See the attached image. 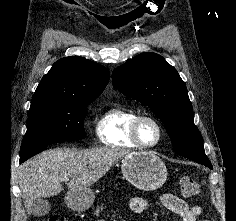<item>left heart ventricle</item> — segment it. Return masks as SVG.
<instances>
[{
    "mask_svg": "<svg viewBox=\"0 0 236 221\" xmlns=\"http://www.w3.org/2000/svg\"><path fill=\"white\" fill-rule=\"evenodd\" d=\"M139 136L142 142L151 144L156 141L158 132L155 125L149 121L142 122L139 129Z\"/></svg>",
    "mask_w": 236,
    "mask_h": 221,
    "instance_id": "obj_1",
    "label": "left heart ventricle"
}]
</instances>
